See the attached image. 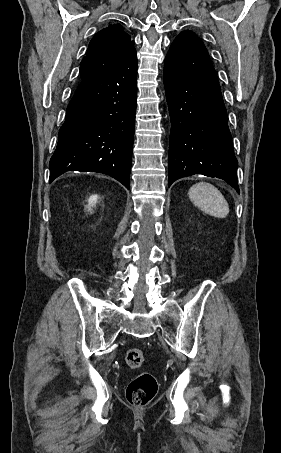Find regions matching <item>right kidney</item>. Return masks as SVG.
I'll return each instance as SVG.
<instances>
[{"mask_svg":"<svg viewBox=\"0 0 281 453\" xmlns=\"http://www.w3.org/2000/svg\"><path fill=\"white\" fill-rule=\"evenodd\" d=\"M98 194H91L88 198L89 204H86V208H89V210H92L91 206H95L96 202H98Z\"/></svg>","mask_w":281,"mask_h":453,"instance_id":"1","label":"right kidney"}]
</instances>
